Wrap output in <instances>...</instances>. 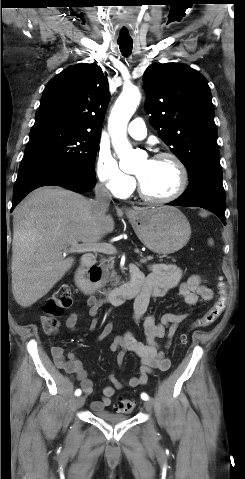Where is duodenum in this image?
Returning <instances> with one entry per match:
<instances>
[{"instance_id": "1", "label": "duodenum", "mask_w": 245, "mask_h": 479, "mask_svg": "<svg viewBox=\"0 0 245 479\" xmlns=\"http://www.w3.org/2000/svg\"><path fill=\"white\" fill-rule=\"evenodd\" d=\"M100 279L101 273L96 264L95 256L91 253L85 254L75 277L76 286L83 294L98 296L104 303L120 305L126 300L137 298L144 287L138 269L130 270L129 281L103 293H99L96 286Z\"/></svg>"}]
</instances>
